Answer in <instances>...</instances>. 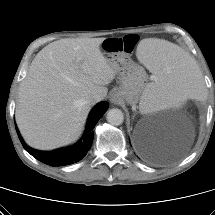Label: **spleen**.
I'll list each match as a JSON object with an SVG mask.
<instances>
[{
    "label": "spleen",
    "mask_w": 215,
    "mask_h": 215,
    "mask_svg": "<svg viewBox=\"0 0 215 215\" xmlns=\"http://www.w3.org/2000/svg\"><path fill=\"white\" fill-rule=\"evenodd\" d=\"M137 51L154 80L142 93V111L178 107L188 98L203 99L204 79L188 54L167 42L149 39L142 40Z\"/></svg>",
    "instance_id": "3e777b00"
}]
</instances>
